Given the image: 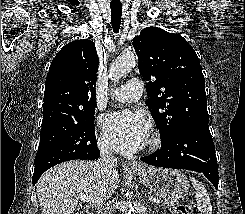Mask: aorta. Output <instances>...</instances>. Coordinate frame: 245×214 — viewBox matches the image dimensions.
Returning <instances> with one entry per match:
<instances>
[{
    "mask_svg": "<svg viewBox=\"0 0 245 214\" xmlns=\"http://www.w3.org/2000/svg\"><path fill=\"white\" fill-rule=\"evenodd\" d=\"M137 65V56L135 54L122 55L117 58L109 68V77L116 81L130 72ZM128 214H135L132 204L129 207Z\"/></svg>",
    "mask_w": 245,
    "mask_h": 214,
    "instance_id": "1",
    "label": "aorta"
}]
</instances>
